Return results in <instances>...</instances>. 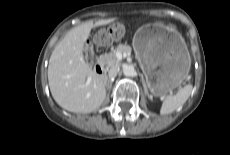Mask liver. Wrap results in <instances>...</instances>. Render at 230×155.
Returning <instances> with one entry per match:
<instances>
[{"instance_id":"6515ba94","label":"liver","mask_w":230,"mask_h":155,"mask_svg":"<svg viewBox=\"0 0 230 155\" xmlns=\"http://www.w3.org/2000/svg\"><path fill=\"white\" fill-rule=\"evenodd\" d=\"M117 18L90 20L71 29L55 46L48 65V82L56 103L67 111L90 113L106 97L105 77L93 72L85 62L84 45L91 29Z\"/></svg>"}]
</instances>
